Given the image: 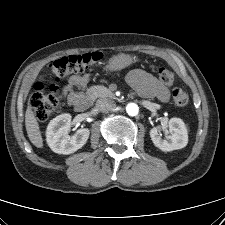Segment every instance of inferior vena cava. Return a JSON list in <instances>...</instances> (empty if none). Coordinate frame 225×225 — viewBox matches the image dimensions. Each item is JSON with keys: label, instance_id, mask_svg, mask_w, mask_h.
<instances>
[{"label": "inferior vena cava", "instance_id": "inferior-vena-cava-1", "mask_svg": "<svg viewBox=\"0 0 225 225\" xmlns=\"http://www.w3.org/2000/svg\"><path fill=\"white\" fill-rule=\"evenodd\" d=\"M116 104L114 103L113 100L110 99H99L96 102V107L101 111V112H108L112 110Z\"/></svg>", "mask_w": 225, "mask_h": 225}]
</instances>
